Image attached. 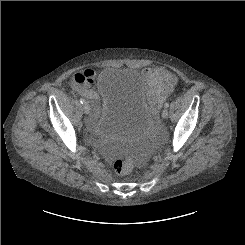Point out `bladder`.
I'll return each mask as SVG.
<instances>
[{
  "label": "bladder",
  "mask_w": 245,
  "mask_h": 245,
  "mask_svg": "<svg viewBox=\"0 0 245 245\" xmlns=\"http://www.w3.org/2000/svg\"><path fill=\"white\" fill-rule=\"evenodd\" d=\"M98 93L100 110L91 121L96 138L132 142L152 127L151 111L135 68L105 67Z\"/></svg>",
  "instance_id": "obj_1"
}]
</instances>
